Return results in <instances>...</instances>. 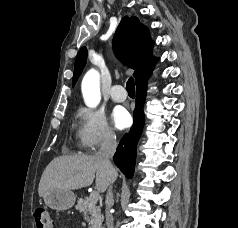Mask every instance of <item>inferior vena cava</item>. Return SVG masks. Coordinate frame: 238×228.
I'll list each match as a JSON object with an SVG mask.
<instances>
[{
    "mask_svg": "<svg viewBox=\"0 0 238 228\" xmlns=\"http://www.w3.org/2000/svg\"><path fill=\"white\" fill-rule=\"evenodd\" d=\"M116 136L112 132H107L104 140L101 144L100 150L96 153V156L103 160V162L113 170V165L111 164V159L116 150ZM106 225L107 228H114L113 226V215L110 212L111 207L114 204L112 186L110 185L106 194Z\"/></svg>",
    "mask_w": 238,
    "mask_h": 228,
    "instance_id": "602c4592",
    "label": "inferior vena cava"
}]
</instances>
